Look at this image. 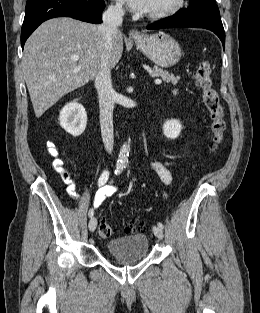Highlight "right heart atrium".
I'll use <instances>...</instances> for the list:
<instances>
[{
	"instance_id": "obj_1",
	"label": "right heart atrium",
	"mask_w": 260,
	"mask_h": 313,
	"mask_svg": "<svg viewBox=\"0 0 260 313\" xmlns=\"http://www.w3.org/2000/svg\"><path fill=\"white\" fill-rule=\"evenodd\" d=\"M110 10L113 13L119 14L122 12V6L119 3H115L110 6Z\"/></svg>"
}]
</instances>
